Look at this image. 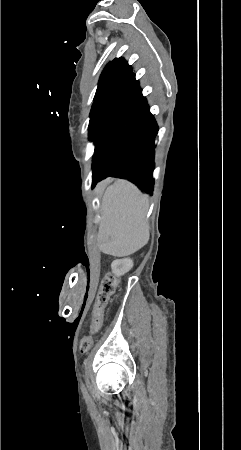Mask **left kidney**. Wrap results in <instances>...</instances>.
Here are the masks:
<instances>
[{
	"instance_id": "obj_1",
	"label": "left kidney",
	"mask_w": 241,
	"mask_h": 450,
	"mask_svg": "<svg viewBox=\"0 0 241 450\" xmlns=\"http://www.w3.org/2000/svg\"><path fill=\"white\" fill-rule=\"evenodd\" d=\"M133 260L131 258H123V260H114L111 264L113 274L116 276H123L133 268Z\"/></svg>"
}]
</instances>
